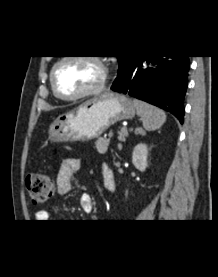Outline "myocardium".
Masks as SVG:
<instances>
[{
	"instance_id": "f54148a6",
	"label": "myocardium",
	"mask_w": 218,
	"mask_h": 277,
	"mask_svg": "<svg viewBox=\"0 0 218 277\" xmlns=\"http://www.w3.org/2000/svg\"><path fill=\"white\" fill-rule=\"evenodd\" d=\"M69 60L88 61L91 64H93L95 67H97V69L99 71V80L97 81V83L95 85H93L92 87L88 88L87 90H85L77 95H74V96L62 95L58 91V89L56 87V83H55V73H56L57 68ZM107 79H108L107 66L99 57L93 56V55H65V56H62L54 63V65L51 68V72H50V84H51L52 91L56 97H58L59 99L64 100V101H76V100L86 98L89 96H93V95H96V94L102 92L106 86Z\"/></svg>"
}]
</instances>
